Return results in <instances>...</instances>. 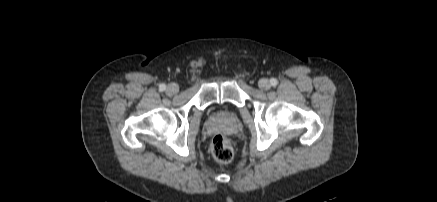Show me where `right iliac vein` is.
I'll return each mask as SVG.
<instances>
[{
	"mask_svg": "<svg viewBox=\"0 0 437 202\" xmlns=\"http://www.w3.org/2000/svg\"><path fill=\"white\" fill-rule=\"evenodd\" d=\"M179 91V86L175 83L169 84L166 88V92L169 95H174Z\"/></svg>",
	"mask_w": 437,
	"mask_h": 202,
	"instance_id": "1",
	"label": "right iliac vein"
}]
</instances>
